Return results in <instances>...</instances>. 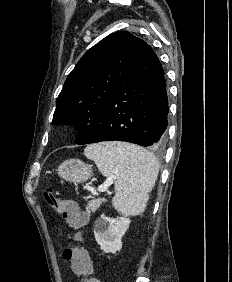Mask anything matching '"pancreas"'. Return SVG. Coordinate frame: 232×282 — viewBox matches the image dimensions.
Segmentation results:
<instances>
[{"label":"pancreas","instance_id":"pancreas-1","mask_svg":"<svg viewBox=\"0 0 232 282\" xmlns=\"http://www.w3.org/2000/svg\"><path fill=\"white\" fill-rule=\"evenodd\" d=\"M101 199H93L86 206V213L90 214L91 212H95L99 206L101 205Z\"/></svg>","mask_w":232,"mask_h":282}]
</instances>
